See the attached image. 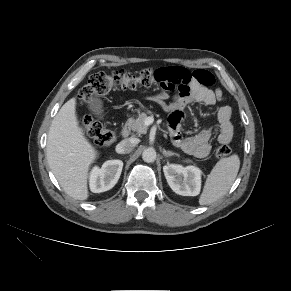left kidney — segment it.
Returning a JSON list of instances; mask_svg holds the SVG:
<instances>
[{
  "label": "left kidney",
  "mask_w": 291,
  "mask_h": 291,
  "mask_svg": "<svg viewBox=\"0 0 291 291\" xmlns=\"http://www.w3.org/2000/svg\"><path fill=\"white\" fill-rule=\"evenodd\" d=\"M170 188L182 196H197L201 190V170L195 166L168 164L163 167Z\"/></svg>",
  "instance_id": "1"
}]
</instances>
